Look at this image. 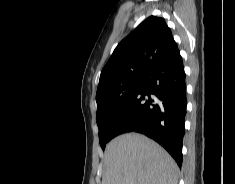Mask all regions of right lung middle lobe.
Masks as SVG:
<instances>
[{"label":"right lung middle lobe","instance_id":"obj_1","mask_svg":"<svg viewBox=\"0 0 235 184\" xmlns=\"http://www.w3.org/2000/svg\"><path fill=\"white\" fill-rule=\"evenodd\" d=\"M141 85L142 79H137L111 88L105 93L103 102L97 105L96 118L99 128V142L103 150L107 142L116 136L114 127Z\"/></svg>","mask_w":235,"mask_h":184}]
</instances>
